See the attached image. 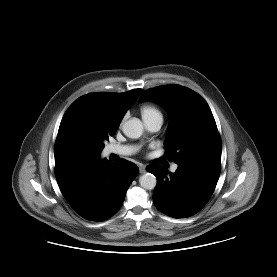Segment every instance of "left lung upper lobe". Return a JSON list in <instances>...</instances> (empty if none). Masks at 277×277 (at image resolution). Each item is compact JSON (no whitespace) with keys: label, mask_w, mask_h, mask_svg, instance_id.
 <instances>
[{"label":"left lung upper lobe","mask_w":277,"mask_h":277,"mask_svg":"<svg viewBox=\"0 0 277 277\" xmlns=\"http://www.w3.org/2000/svg\"><path fill=\"white\" fill-rule=\"evenodd\" d=\"M141 101L152 100L170 115L165 155L175 163L201 156H221V138L206 101L193 90L166 85L145 91Z\"/></svg>","instance_id":"1"}]
</instances>
